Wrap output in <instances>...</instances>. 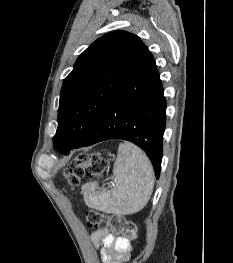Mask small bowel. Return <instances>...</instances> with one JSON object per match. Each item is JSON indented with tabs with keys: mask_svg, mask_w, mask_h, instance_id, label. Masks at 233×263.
<instances>
[{
	"mask_svg": "<svg viewBox=\"0 0 233 263\" xmlns=\"http://www.w3.org/2000/svg\"><path fill=\"white\" fill-rule=\"evenodd\" d=\"M91 240L100 246L103 263H125L131 257L132 247L129 240L109 229L94 231Z\"/></svg>",
	"mask_w": 233,
	"mask_h": 263,
	"instance_id": "small-bowel-1",
	"label": "small bowel"
}]
</instances>
